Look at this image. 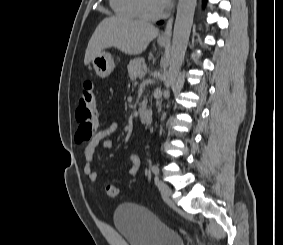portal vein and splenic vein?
I'll return each instance as SVG.
<instances>
[{"mask_svg": "<svg viewBox=\"0 0 283 245\" xmlns=\"http://www.w3.org/2000/svg\"><path fill=\"white\" fill-rule=\"evenodd\" d=\"M144 75H145V73H141L140 76H139V78L144 77Z\"/></svg>", "mask_w": 283, "mask_h": 245, "instance_id": "18ae733b", "label": "portal vein and splenic vein"}]
</instances>
